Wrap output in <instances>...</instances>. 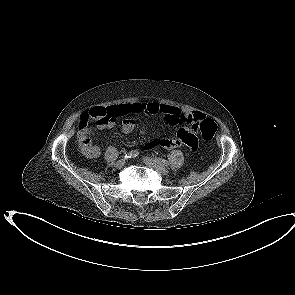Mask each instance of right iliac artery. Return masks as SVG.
Returning a JSON list of instances; mask_svg holds the SVG:
<instances>
[{
  "label": "right iliac artery",
  "instance_id": "right-iliac-artery-1",
  "mask_svg": "<svg viewBox=\"0 0 295 295\" xmlns=\"http://www.w3.org/2000/svg\"><path fill=\"white\" fill-rule=\"evenodd\" d=\"M138 154H139L138 150H132L131 152L126 154L124 156V158H134V157L138 156Z\"/></svg>",
  "mask_w": 295,
  "mask_h": 295
}]
</instances>
